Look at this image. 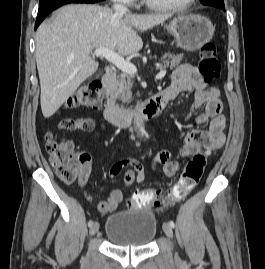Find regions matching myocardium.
<instances>
[{
	"mask_svg": "<svg viewBox=\"0 0 265 269\" xmlns=\"http://www.w3.org/2000/svg\"><path fill=\"white\" fill-rule=\"evenodd\" d=\"M148 7L159 11H183L189 8L195 0H186L179 4H162L154 0H142Z\"/></svg>",
	"mask_w": 265,
	"mask_h": 269,
	"instance_id": "obj_1",
	"label": "myocardium"
}]
</instances>
